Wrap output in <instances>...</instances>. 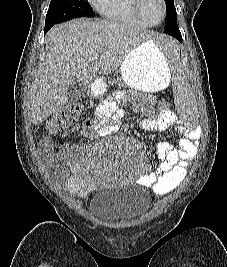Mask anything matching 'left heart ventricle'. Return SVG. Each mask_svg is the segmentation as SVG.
Masks as SVG:
<instances>
[{"label": "left heart ventricle", "mask_w": 227, "mask_h": 267, "mask_svg": "<svg viewBox=\"0 0 227 267\" xmlns=\"http://www.w3.org/2000/svg\"><path fill=\"white\" fill-rule=\"evenodd\" d=\"M142 12L151 23L160 21L162 17V5L160 0H142Z\"/></svg>", "instance_id": "1"}]
</instances>
